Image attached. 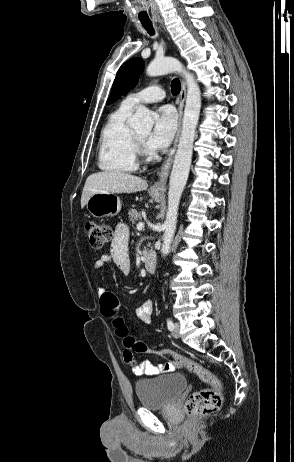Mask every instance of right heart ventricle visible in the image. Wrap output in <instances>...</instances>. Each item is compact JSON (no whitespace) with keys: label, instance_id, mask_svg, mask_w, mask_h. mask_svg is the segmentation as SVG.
I'll use <instances>...</instances> for the list:
<instances>
[{"label":"right heart ventricle","instance_id":"right-heart-ventricle-1","mask_svg":"<svg viewBox=\"0 0 294 462\" xmlns=\"http://www.w3.org/2000/svg\"><path fill=\"white\" fill-rule=\"evenodd\" d=\"M133 108L121 104L102 129L98 153L100 169L110 173H131L138 168L134 132L127 120Z\"/></svg>","mask_w":294,"mask_h":462}]
</instances>
